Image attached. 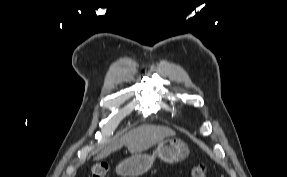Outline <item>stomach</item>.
<instances>
[{"instance_id":"stomach-1","label":"stomach","mask_w":287,"mask_h":177,"mask_svg":"<svg viewBox=\"0 0 287 177\" xmlns=\"http://www.w3.org/2000/svg\"><path fill=\"white\" fill-rule=\"evenodd\" d=\"M188 155L189 148L185 142L178 139L163 140L152 155L133 154L116 167V172L123 177H138L151 168L156 156L164 162L175 163L186 159Z\"/></svg>"}]
</instances>
